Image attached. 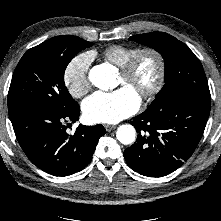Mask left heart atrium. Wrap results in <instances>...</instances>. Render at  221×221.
Returning <instances> with one entry per match:
<instances>
[{"label": "left heart atrium", "mask_w": 221, "mask_h": 221, "mask_svg": "<svg viewBox=\"0 0 221 221\" xmlns=\"http://www.w3.org/2000/svg\"><path fill=\"white\" fill-rule=\"evenodd\" d=\"M140 97L127 86L112 92L97 91L86 98L84 117L93 123H116L137 111Z\"/></svg>", "instance_id": "obj_1"}]
</instances>
